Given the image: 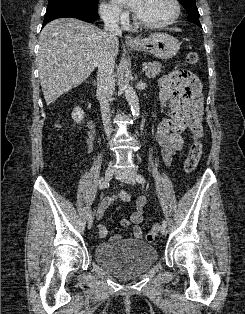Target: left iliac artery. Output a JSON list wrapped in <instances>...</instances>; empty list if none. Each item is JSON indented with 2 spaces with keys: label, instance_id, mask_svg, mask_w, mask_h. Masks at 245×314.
Returning <instances> with one entry per match:
<instances>
[{
  "label": "left iliac artery",
  "instance_id": "1",
  "mask_svg": "<svg viewBox=\"0 0 245 314\" xmlns=\"http://www.w3.org/2000/svg\"><path fill=\"white\" fill-rule=\"evenodd\" d=\"M136 180L140 184H144L145 183V178L142 175H140V174L136 175ZM162 225H164L166 227L167 226V222L165 220H163Z\"/></svg>",
  "mask_w": 245,
  "mask_h": 314
}]
</instances>
